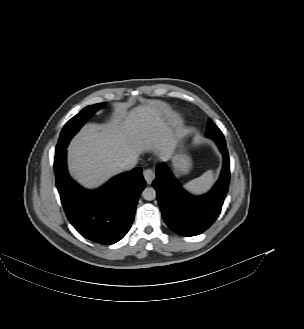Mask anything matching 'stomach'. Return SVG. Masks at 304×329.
Listing matches in <instances>:
<instances>
[{
    "label": "stomach",
    "mask_w": 304,
    "mask_h": 329,
    "mask_svg": "<svg viewBox=\"0 0 304 329\" xmlns=\"http://www.w3.org/2000/svg\"><path fill=\"white\" fill-rule=\"evenodd\" d=\"M174 170L177 175H183L191 169V161L185 154H177L173 158Z\"/></svg>",
    "instance_id": "1"
}]
</instances>
